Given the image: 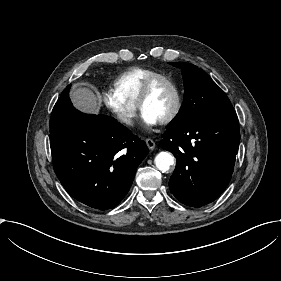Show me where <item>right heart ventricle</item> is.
I'll list each match as a JSON object with an SVG mask.
<instances>
[{
    "instance_id": "obj_1",
    "label": "right heart ventricle",
    "mask_w": 281,
    "mask_h": 281,
    "mask_svg": "<svg viewBox=\"0 0 281 281\" xmlns=\"http://www.w3.org/2000/svg\"><path fill=\"white\" fill-rule=\"evenodd\" d=\"M164 75L160 70L147 67H134L120 74L114 81L115 90L125 101L137 105L138 98L149 79Z\"/></svg>"
}]
</instances>
